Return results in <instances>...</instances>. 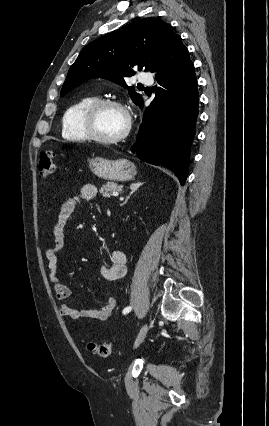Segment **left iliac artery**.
I'll return each instance as SVG.
<instances>
[{
  "label": "left iliac artery",
  "instance_id": "44dca946",
  "mask_svg": "<svg viewBox=\"0 0 269 426\" xmlns=\"http://www.w3.org/2000/svg\"><path fill=\"white\" fill-rule=\"evenodd\" d=\"M131 309H132L131 306H128V307L124 308L123 309V314L125 315V314L129 313L131 311Z\"/></svg>",
  "mask_w": 269,
  "mask_h": 426
}]
</instances>
